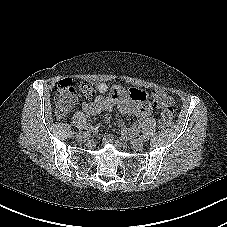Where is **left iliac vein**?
Masks as SVG:
<instances>
[{"instance_id": "left-iliac-vein-1", "label": "left iliac vein", "mask_w": 227, "mask_h": 227, "mask_svg": "<svg viewBox=\"0 0 227 227\" xmlns=\"http://www.w3.org/2000/svg\"><path fill=\"white\" fill-rule=\"evenodd\" d=\"M131 145L136 149H142L145 146V142L142 139H135L131 142Z\"/></svg>"}]
</instances>
